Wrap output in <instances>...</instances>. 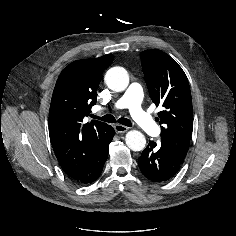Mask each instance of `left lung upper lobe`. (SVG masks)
Returning <instances> with one entry per match:
<instances>
[{
  "mask_svg": "<svg viewBox=\"0 0 236 236\" xmlns=\"http://www.w3.org/2000/svg\"><path fill=\"white\" fill-rule=\"evenodd\" d=\"M141 62L151 99L163 108L156 118L162 125L160 146L184 159L193 131L188 79L177 62L161 50L143 51Z\"/></svg>",
  "mask_w": 236,
  "mask_h": 236,
  "instance_id": "left-lung-upper-lobe-1",
  "label": "left lung upper lobe"
}]
</instances>
